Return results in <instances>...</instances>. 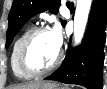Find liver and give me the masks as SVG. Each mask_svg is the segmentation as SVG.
I'll use <instances>...</instances> for the list:
<instances>
[{
	"label": "liver",
	"instance_id": "1",
	"mask_svg": "<svg viewBox=\"0 0 107 89\" xmlns=\"http://www.w3.org/2000/svg\"><path fill=\"white\" fill-rule=\"evenodd\" d=\"M42 85H46L45 83H26L22 85L12 86L11 89H39Z\"/></svg>",
	"mask_w": 107,
	"mask_h": 89
}]
</instances>
